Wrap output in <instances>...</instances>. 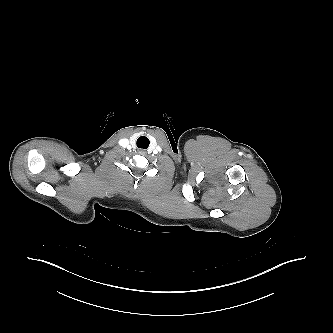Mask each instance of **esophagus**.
<instances>
[{"instance_id": "obj_1", "label": "esophagus", "mask_w": 333, "mask_h": 333, "mask_svg": "<svg viewBox=\"0 0 333 333\" xmlns=\"http://www.w3.org/2000/svg\"><path fill=\"white\" fill-rule=\"evenodd\" d=\"M139 153L140 154H145V151L144 150H139Z\"/></svg>"}]
</instances>
